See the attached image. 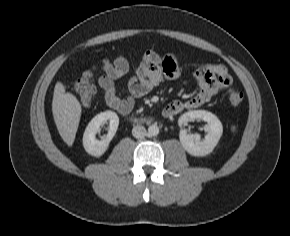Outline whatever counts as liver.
<instances>
[{
  "instance_id": "obj_1",
  "label": "liver",
  "mask_w": 290,
  "mask_h": 236,
  "mask_svg": "<svg viewBox=\"0 0 290 236\" xmlns=\"http://www.w3.org/2000/svg\"><path fill=\"white\" fill-rule=\"evenodd\" d=\"M81 104L71 93L65 92V86L58 81L54 88L52 113L63 141L72 146L81 117Z\"/></svg>"
}]
</instances>
